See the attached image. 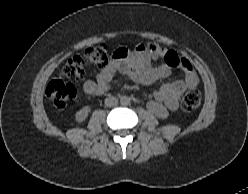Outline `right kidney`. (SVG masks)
I'll return each instance as SVG.
<instances>
[{"instance_id":"right-kidney-1","label":"right kidney","mask_w":248,"mask_h":194,"mask_svg":"<svg viewBox=\"0 0 248 194\" xmlns=\"http://www.w3.org/2000/svg\"><path fill=\"white\" fill-rule=\"evenodd\" d=\"M90 111H91V106H88V105L84 106L82 109L77 111L75 113L76 122L81 123L85 121Z\"/></svg>"}]
</instances>
